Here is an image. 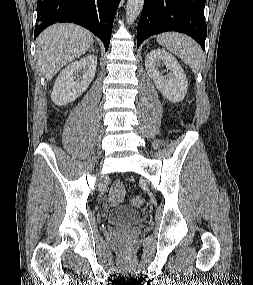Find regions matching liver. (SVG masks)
<instances>
[{
	"label": "liver",
	"mask_w": 253,
	"mask_h": 285,
	"mask_svg": "<svg viewBox=\"0 0 253 285\" xmlns=\"http://www.w3.org/2000/svg\"><path fill=\"white\" fill-rule=\"evenodd\" d=\"M93 35L75 24H55L37 39V60L41 73L49 81L66 64L83 55L93 45Z\"/></svg>",
	"instance_id": "liver-1"
}]
</instances>
